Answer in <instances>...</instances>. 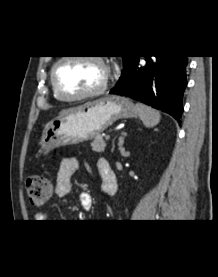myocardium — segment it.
Wrapping results in <instances>:
<instances>
[{
    "label": "myocardium",
    "mask_w": 218,
    "mask_h": 277,
    "mask_svg": "<svg viewBox=\"0 0 218 277\" xmlns=\"http://www.w3.org/2000/svg\"><path fill=\"white\" fill-rule=\"evenodd\" d=\"M69 59H84V60H90V61H94L97 64H99L102 69L104 70V77L103 80L101 82V84L96 88L93 89L91 91L85 92L83 94L80 95H75V96H69L64 94L57 82V77H56V70L57 67L64 61L69 60ZM50 77H51V83H52V87L54 92L56 93V95L64 101H78V100H83V99H88V98H92V97H96L98 95H101L102 93H104L108 87V83H109V78H110V68L109 66L105 63V61L103 60L102 57L97 56V55H78V56H72V55H64L62 57H60L52 66L51 68V73H50Z\"/></svg>",
    "instance_id": "obj_1"
}]
</instances>
